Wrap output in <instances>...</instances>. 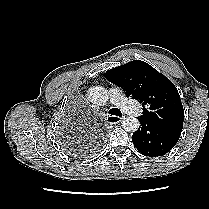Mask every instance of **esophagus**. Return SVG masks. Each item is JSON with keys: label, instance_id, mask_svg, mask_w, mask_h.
<instances>
[{"label": "esophagus", "instance_id": "34e87169", "mask_svg": "<svg viewBox=\"0 0 209 209\" xmlns=\"http://www.w3.org/2000/svg\"><path fill=\"white\" fill-rule=\"evenodd\" d=\"M122 119H123V117H118V116L109 115V116L107 117V122L110 123V124H113V123H118V122H120Z\"/></svg>", "mask_w": 209, "mask_h": 209}]
</instances>
